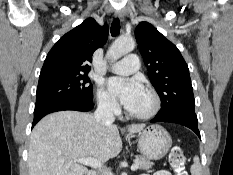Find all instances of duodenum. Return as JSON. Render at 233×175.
<instances>
[{"instance_id":"410a0bca","label":"duodenum","mask_w":233,"mask_h":175,"mask_svg":"<svg viewBox=\"0 0 233 175\" xmlns=\"http://www.w3.org/2000/svg\"><path fill=\"white\" fill-rule=\"evenodd\" d=\"M86 175H95L93 172H87Z\"/></svg>"}]
</instances>
